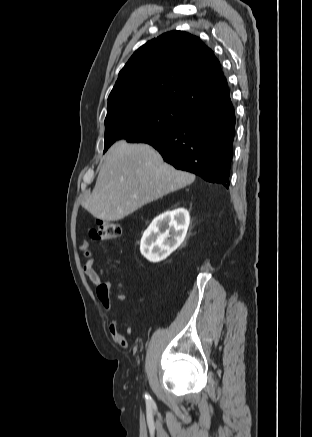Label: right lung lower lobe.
Here are the masks:
<instances>
[{"label": "right lung lower lobe", "instance_id": "1", "mask_svg": "<svg viewBox=\"0 0 312 437\" xmlns=\"http://www.w3.org/2000/svg\"><path fill=\"white\" fill-rule=\"evenodd\" d=\"M235 112L227 89L219 98L191 111L175 130L145 143L175 168L229 188Z\"/></svg>", "mask_w": 312, "mask_h": 437}]
</instances>
